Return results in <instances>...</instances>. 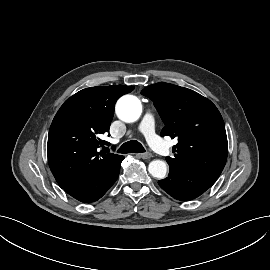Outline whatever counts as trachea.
Wrapping results in <instances>:
<instances>
[{
  "label": "trachea",
  "mask_w": 270,
  "mask_h": 270,
  "mask_svg": "<svg viewBox=\"0 0 270 270\" xmlns=\"http://www.w3.org/2000/svg\"><path fill=\"white\" fill-rule=\"evenodd\" d=\"M118 153L127 154V153H143L145 152L144 147L141 143L136 140H131L124 143L118 150Z\"/></svg>",
  "instance_id": "1"
}]
</instances>
